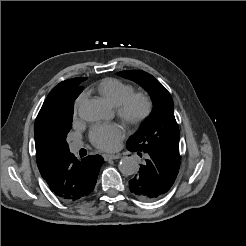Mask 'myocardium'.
<instances>
[{
  "label": "myocardium",
  "mask_w": 246,
  "mask_h": 246,
  "mask_svg": "<svg viewBox=\"0 0 246 246\" xmlns=\"http://www.w3.org/2000/svg\"><path fill=\"white\" fill-rule=\"evenodd\" d=\"M154 102L149 93L137 91L116 106L118 117L131 127H139L151 116Z\"/></svg>",
  "instance_id": "f54148a6"
}]
</instances>
